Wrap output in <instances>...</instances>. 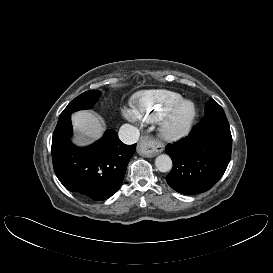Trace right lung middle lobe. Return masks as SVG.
I'll list each match as a JSON object with an SVG mask.
<instances>
[{
    "instance_id": "dd1d6c3e",
    "label": "right lung middle lobe",
    "mask_w": 273,
    "mask_h": 273,
    "mask_svg": "<svg viewBox=\"0 0 273 273\" xmlns=\"http://www.w3.org/2000/svg\"><path fill=\"white\" fill-rule=\"evenodd\" d=\"M99 96L100 92L97 90H89L80 94L68 104L64 111L60 114L58 120L71 116V114L75 111L92 108Z\"/></svg>"
}]
</instances>
